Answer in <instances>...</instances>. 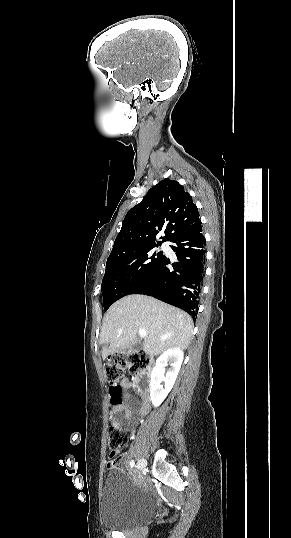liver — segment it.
<instances>
[{"label":"liver","mask_w":291,"mask_h":538,"mask_svg":"<svg viewBox=\"0 0 291 538\" xmlns=\"http://www.w3.org/2000/svg\"><path fill=\"white\" fill-rule=\"evenodd\" d=\"M144 329V351L158 355L173 347L187 349L192 338L193 321L189 314L146 295H128L115 302L104 316L100 333L102 358L126 350L138 342Z\"/></svg>","instance_id":"6515ba94"}]
</instances>
